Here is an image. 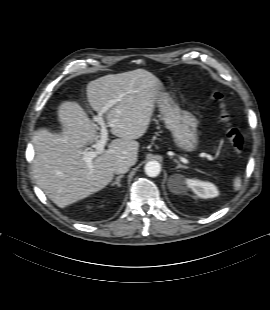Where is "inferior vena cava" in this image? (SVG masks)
<instances>
[{
	"instance_id": "1",
	"label": "inferior vena cava",
	"mask_w": 270,
	"mask_h": 310,
	"mask_svg": "<svg viewBox=\"0 0 270 310\" xmlns=\"http://www.w3.org/2000/svg\"><path fill=\"white\" fill-rule=\"evenodd\" d=\"M130 163L127 160H120L116 162L113 166V172L115 174H123L128 172L130 168Z\"/></svg>"
}]
</instances>
